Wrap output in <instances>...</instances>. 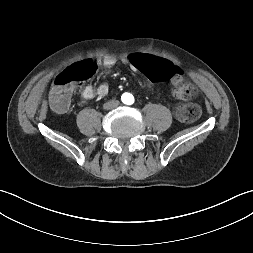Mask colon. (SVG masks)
<instances>
[{
    "label": "colon",
    "mask_w": 253,
    "mask_h": 253,
    "mask_svg": "<svg viewBox=\"0 0 253 253\" xmlns=\"http://www.w3.org/2000/svg\"><path fill=\"white\" fill-rule=\"evenodd\" d=\"M129 61L151 79L169 78L176 73L175 65L168 60L156 58L148 53H132ZM97 70L94 61L87 60L72 65L59 74L53 84L51 101L58 111H65L70 102L71 86L74 83L90 79ZM174 95L181 100H187L195 94V87L189 83H178L173 90ZM181 122L190 123L201 116V108L195 103L180 105L176 110Z\"/></svg>",
    "instance_id": "colon-1"
}]
</instances>
